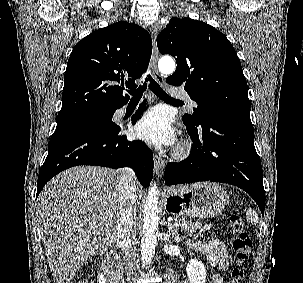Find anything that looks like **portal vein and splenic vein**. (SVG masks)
Returning <instances> with one entry per match:
<instances>
[{"label": "portal vein and splenic vein", "instance_id": "portal-vein-and-splenic-vein-1", "mask_svg": "<svg viewBox=\"0 0 303 283\" xmlns=\"http://www.w3.org/2000/svg\"><path fill=\"white\" fill-rule=\"evenodd\" d=\"M174 226H178V224H177V223H175V224H174Z\"/></svg>", "mask_w": 303, "mask_h": 283}]
</instances>
